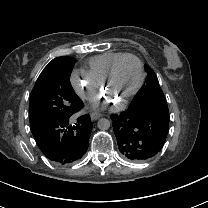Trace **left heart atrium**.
<instances>
[{"instance_id": "1", "label": "left heart atrium", "mask_w": 208, "mask_h": 208, "mask_svg": "<svg viewBox=\"0 0 208 208\" xmlns=\"http://www.w3.org/2000/svg\"><path fill=\"white\" fill-rule=\"evenodd\" d=\"M87 108H88V109H95L96 106H95L94 104H91V105H88Z\"/></svg>"}]
</instances>
